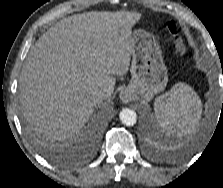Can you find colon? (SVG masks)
I'll list each match as a JSON object with an SVG mask.
<instances>
[{"instance_id": "1", "label": "colon", "mask_w": 223, "mask_h": 188, "mask_svg": "<svg viewBox=\"0 0 223 188\" xmlns=\"http://www.w3.org/2000/svg\"><path fill=\"white\" fill-rule=\"evenodd\" d=\"M168 30L169 32L176 38L175 39V46L176 49L180 53H187L189 51L188 46L186 45L185 41L183 38L180 36V27L175 21H170L168 23Z\"/></svg>"}]
</instances>
